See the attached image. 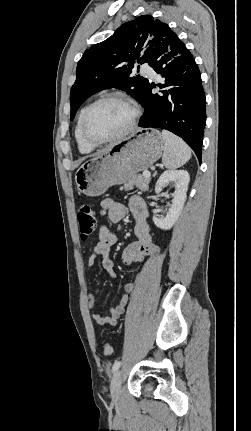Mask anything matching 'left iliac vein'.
<instances>
[{"label":"left iliac vein","mask_w":251,"mask_h":431,"mask_svg":"<svg viewBox=\"0 0 251 431\" xmlns=\"http://www.w3.org/2000/svg\"><path fill=\"white\" fill-rule=\"evenodd\" d=\"M121 384H122V372L121 370H118L114 373L111 380V385H110L111 396L114 400H117L120 396Z\"/></svg>","instance_id":"left-iliac-vein-1"}]
</instances>
